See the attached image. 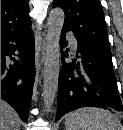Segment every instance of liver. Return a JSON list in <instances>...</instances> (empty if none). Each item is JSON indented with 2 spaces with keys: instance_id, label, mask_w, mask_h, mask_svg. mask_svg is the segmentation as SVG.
Listing matches in <instances>:
<instances>
[{
  "instance_id": "obj_1",
  "label": "liver",
  "mask_w": 123,
  "mask_h": 130,
  "mask_svg": "<svg viewBox=\"0 0 123 130\" xmlns=\"http://www.w3.org/2000/svg\"><path fill=\"white\" fill-rule=\"evenodd\" d=\"M21 120L15 110L1 100V130H20Z\"/></svg>"
}]
</instances>
